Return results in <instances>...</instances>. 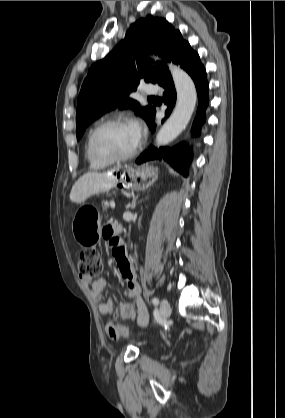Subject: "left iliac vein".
I'll list each match as a JSON object with an SVG mask.
<instances>
[{
    "label": "left iliac vein",
    "instance_id": "4c4485c4",
    "mask_svg": "<svg viewBox=\"0 0 285 418\" xmlns=\"http://www.w3.org/2000/svg\"><path fill=\"white\" fill-rule=\"evenodd\" d=\"M171 312L170 304L167 299H162L160 302V314L163 319H166Z\"/></svg>",
    "mask_w": 285,
    "mask_h": 418
}]
</instances>
